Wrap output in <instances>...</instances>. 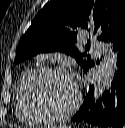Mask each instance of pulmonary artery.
Segmentation results:
<instances>
[{"instance_id":"1","label":"pulmonary artery","mask_w":125,"mask_h":128,"mask_svg":"<svg viewBox=\"0 0 125 128\" xmlns=\"http://www.w3.org/2000/svg\"><path fill=\"white\" fill-rule=\"evenodd\" d=\"M91 46L94 47V48L99 49V48H101V43L96 39H92L91 40Z\"/></svg>"}]
</instances>
